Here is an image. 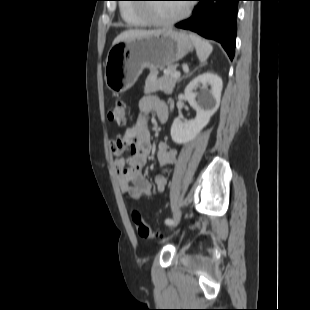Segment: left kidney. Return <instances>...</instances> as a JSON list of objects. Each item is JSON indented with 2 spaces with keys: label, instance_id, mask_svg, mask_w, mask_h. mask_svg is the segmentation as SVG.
<instances>
[{
  "label": "left kidney",
  "instance_id": "1",
  "mask_svg": "<svg viewBox=\"0 0 310 310\" xmlns=\"http://www.w3.org/2000/svg\"><path fill=\"white\" fill-rule=\"evenodd\" d=\"M200 86L204 89L211 86V89L203 93L199 100L196 101L197 93L195 89ZM222 88V79L211 72L197 76L187 85L185 98L190 106L195 109L196 117L189 121L174 119L171 126V137L175 143L185 144L192 141L209 123L211 116L219 107Z\"/></svg>",
  "mask_w": 310,
  "mask_h": 310
}]
</instances>
